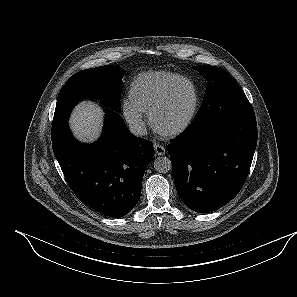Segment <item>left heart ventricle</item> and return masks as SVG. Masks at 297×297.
I'll return each instance as SVG.
<instances>
[{"label": "left heart ventricle", "mask_w": 297, "mask_h": 297, "mask_svg": "<svg viewBox=\"0 0 297 297\" xmlns=\"http://www.w3.org/2000/svg\"><path fill=\"white\" fill-rule=\"evenodd\" d=\"M192 102L191 87L187 82L177 85L170 101L157 115V126L162 130H168L177 126L186 117Z\"/></svg>", "instance_id": "1"}]
</instances>
